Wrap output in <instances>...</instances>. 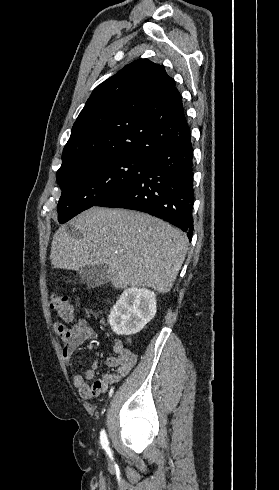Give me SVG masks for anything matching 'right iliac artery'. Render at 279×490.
I'll list each match as a JSON object with an SVG mask.
<instances>
[{
  "mask_svg": "<svg viewBox=\"0 0 279 490\" xmlns=\"http://www.w3.org/2000/svg\"><path fill=\"white\" fill-rule=\"evenodd\" d=\"M111 393H112V391L110 392V396H111ZM100 441H101V445L103 448H105V449L108 448L109 442H108V439H107V436H106V433L104 430L101 431V433H100Z\"/></svg>",
  "mask_w": 279,
  "mask_h": 490,
  "instance_id": "82829eb1",
  "label": "right iliac artery"
}]
</instances>
